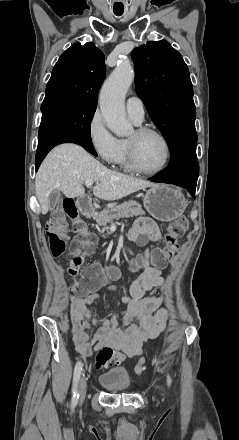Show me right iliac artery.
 Here are the masks:
<instances>
[{
	"instance_id": "right-iliac-artery-1",
	"label": "right iliac artery",
	"mask_w": 239,
	"mask_h": 440,
	"mask_svg": "<svg viewBox=\"0 0 239 440\" xmlns=\"http://www.w3.org/2000/svg\"><path fill=\"white\" fill-rule=\"evenodd\" d=\"M82 362H77L75 368H74V377H73V386H72V401L71 405L72 407L76 406L78 399H79V393H78V382L81 376L82 371Z\"/></svg>"
}]
</instances>
